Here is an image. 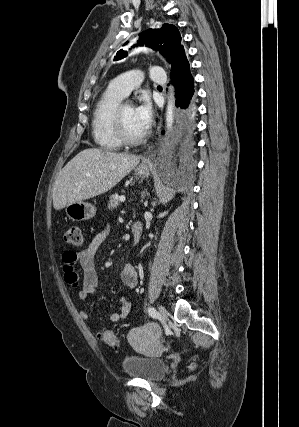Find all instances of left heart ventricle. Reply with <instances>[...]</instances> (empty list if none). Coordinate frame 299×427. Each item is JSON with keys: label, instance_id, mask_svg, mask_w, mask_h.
Returning a JSON list of instances; mask_svg holds the SVG:
<instances>
[{"label": "left heart ventricle", "instance_id": "left-heart-ventricle-1", "mask_svg": "<svg viewBox=\"0 0 299 427\" xmlns=\"http://www.w3.org/2000/svg\"><path fill=\"white\" fill-rule=\"evenodd\" d=\"M123 123L126 133L131 137H136L145 132L138 124L134 108L131 105H126L123 108Z\"/></svg>", "mask_w": 299, "mask_h": 427}]
</instances>
